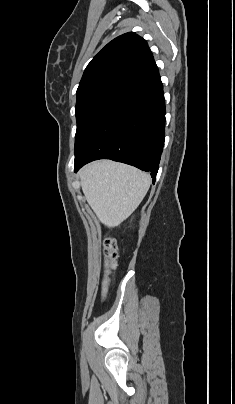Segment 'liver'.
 Instances as JSON below:
<instances>
[{
  "instance_id": "6515ba94",
  "label": "liver",
  "mask_w": 235,
  "mask_h": 404,
  "mask_svg": "<svg viewBox=\"0 0 235 404\" xmlns=\"http://www.w3.org/2000/svg\"><path fill=\"white\" fill-rule=\"evenodd\" d=\"M79 177L88 204L108 228L120 225L135 211L151 183L147 173L110 160L84 166Z\"/></svg>"
}]
</instances>
